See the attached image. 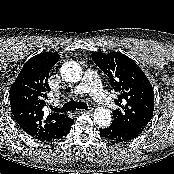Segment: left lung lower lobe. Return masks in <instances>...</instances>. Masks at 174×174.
<instances>
[{
  "label": "left lung lower lobe",
  "instance_id": "left-lung-lower-lobe-1",
  "mask_svg": "<svg viewBox=\"0 0 174 174\" xmlns=\"http://www.w3.org/2000/svg\"><path fill=\"white\" fill-rule=\"evenodd\" d=\"M141 133L117 123H112L109 127L100 129V135L108 140L117 142L129 141L138 137Z\"/></svg>",
  "mask_w": 174,
  "mask_h": 174
}]
</instances>
